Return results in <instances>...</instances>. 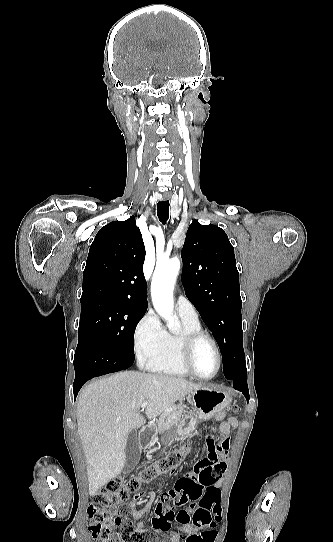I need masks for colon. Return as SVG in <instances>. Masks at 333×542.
I'll return each mask as SVG.
<instances>
[{
  "label": "colon",
  "instance_id": "1",
  "mask_svg": "<svg viewBox=\"0 0 333 542\" xmlns=\"http://www.w3.org/2000/svg\"><path fill=\"white\" fill-rule=\"evenodd\" d=\"M233 410L238 411V407L233 406ZM193 448V443H186L181 450L170 451L155 463L145 465L136 475L109 480L105 487L96 493L88 508V525L92 537L102 541L116 540L118 538L116 527L121 525L122 542H161V536L156 539L154 531L133 532L132 524L127 522L131 518L127 503L135 497L141 487L156 477L174 472ZM225 470L224 462L216 463L214 458L200 460L193 469V479H191L192 473L186 472V479H179L173 484L172 489L164 490V500L157 503L151 518L152 527L166 532L176 518L181 526H187L190 523L209 524L211 531L204 533L201 538L194 537L196 541L209 542L211 534L215 533L217 523L222 518L221 510L217 506L220 494L212 482L218 480ZM167 500H178L175 505L186 502L190 505L186 510L176 509L174 513ZM197 500L200 505H193Z\"/></svg>",
  "mask_w": 333,
  "mask_h": 542
}]
</instances>
